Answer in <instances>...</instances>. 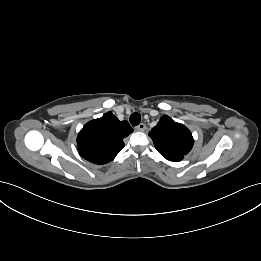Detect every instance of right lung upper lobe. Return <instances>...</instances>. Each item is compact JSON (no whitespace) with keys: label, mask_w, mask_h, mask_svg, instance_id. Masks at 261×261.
Returning <instances> with one entry per match:
<instances>
[{"label":"right lung upper lobe","mask_w":261,"mask_h":261,"mask_svg":"<svg viewBox=\"0 0 261 261\" xmlns=\"http://www.w3.org/2000/svg\"><path fill=\"white\" fill-rule=\"evenodd\" d=\"M133 132L129 123L119 121L111 112L88 122L79 132V154L95 164L112 161L123 149V139Z\"/></svg>","instance_id":"right-lung-upper-lobe-1"}]
</instances>
